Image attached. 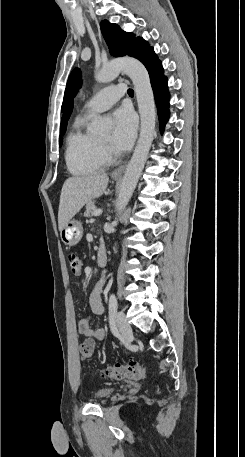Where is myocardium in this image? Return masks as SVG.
Masks as SVG:
<instances>
[{
  "label": "myocardium",
  "mask_w": 245,
  "mask_h": 457,
  "mask_svg": "<svg viewBox=\"0 0 245 457\" xmlns=\"http://www.w3.org/2000/svg\"><path fill=\"white\" fill-rule=\"evenodd\" d=\"M96 151L101 157H108L112 155V150L103 145L98 139H96Z\"/></svg>",
  "instance_id": "myocardium-1"
}]
</instances>
